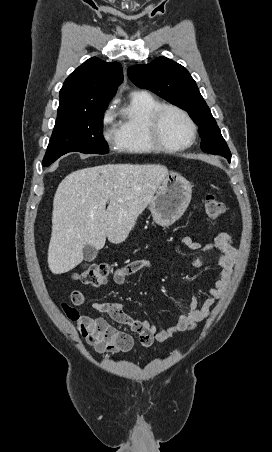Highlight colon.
Here are the masks:
<instances>
[{"label": "colon", "mask_w": 272, "mask_h": 452, "mask_svg": "<svg viewBox=\"0 0 272 452\" xmlns=\"http://www.w3.org/2000/svg\"><path fill=\"white\" fill-rule=\"evenodd\" d=\"M205 216L209 220L220 218L225 212V205L214 195H207L203 202ZM111 267L106 262L87 265L83 270L73 274L72 278L83 284L99 287L107 283ZM108 343V342H107ZM107 351H112L106 346Z\"/></svg>", "instance_id": "5ec220e1"}]
</instances>
